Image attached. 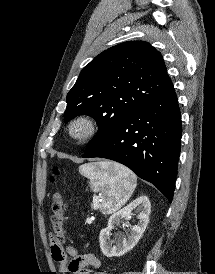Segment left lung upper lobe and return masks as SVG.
I'll use <instances>...</instances> for the list:
<instances>
[{
	"mask_svg": "<svg viewBox=\"0 0 215 274\" xmlns=\"http://www.w3.org/2000/svg\"><path fill=\"white\" fill-rule=\"evenodd\" d=\"M171 83L162 55L149 43L128 41L96 56L67 94L65 123L78 115L97 121V135L86 152L105 139L120 122Z\"/></svg>",
	"mask_w": 215,
	"mask_h": 274,
	"instance_id": "5c2ea615",
	"label": "left lung upper lobe"
}]
</instances>
